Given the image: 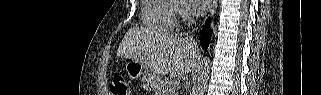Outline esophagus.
<instances>
[{
  "mask_svg": "<svg viewBox=\"0 0 321 95\" xmlns=\"http://www.w3.org/2000/svg\"><path fill=\"white\" fill-rule=\"evenodd\" d=\"M217 5H218V1L215 0V1L213 2L212 13H215L216 8H217Z\"/></svg>",
  "mask_w": 321,
  "mask_h": 95,
  "instance_id": "34e87169",
  "label": "esophagus"
}]
</instances>
